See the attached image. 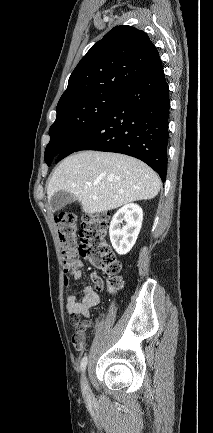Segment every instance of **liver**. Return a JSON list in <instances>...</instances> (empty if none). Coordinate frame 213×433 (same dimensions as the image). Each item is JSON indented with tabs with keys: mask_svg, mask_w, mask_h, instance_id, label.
<instances>
[{
	"mask_svg": "<svg viewBox=\"0 0 213 433\" xmlns=\"http://www.w3.org/2000/svg\"><path fill=\"white\" fill-rule=\"evenodd\" d=\"M160 187L156 172L134 157L82 151L70 155L56 168L49 180L47 197L50 203L56 192L67 191L76 197L84 212L94 214L152 199Z\"/></svg>",
	"mask_w": 213,
	"mask_h": 433,
	"instance_id": "1",
	"label": "liver"
}]
</instances>
